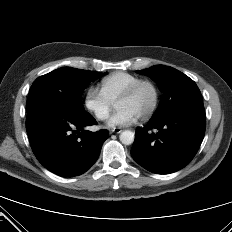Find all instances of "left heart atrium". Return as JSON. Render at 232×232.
Wrapping results in <instances>:
<instances>
[{
	"label": "left heart atrium",
	"mask_w": 232,
	"mask_h": 232,
	"mask_svg": "<svg viewBox=\"0 0 232 232\" xmlns=\"http://www.w3.org/2000/svg\"><path fill=\"white\" fill-rule=\"evenodd\" d=\"M139 117L125 108H119L110 117L107 126L110 128L126 127L133 124Z\"/></svg>",
	"instance_id": "39dd6f15"
}]
</instances>
